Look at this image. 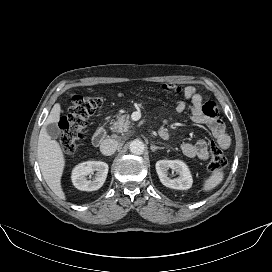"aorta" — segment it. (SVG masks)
<instances>
[{"label":"aorta","mask_w":272,"mask_h":272,"mask_svg":"<svg viewBox=\"0 0 272 272\" xmlns=\"http://www.w3.org/2000/svg\"><path fill=\"white\" fill-rule=\"evenodd\" d=\"M144 143L140 140H134L130 143L129 150L132 154L141 155L144 152Z\"/></svg>","instance_id":"762f6f07"}]
</instances>
